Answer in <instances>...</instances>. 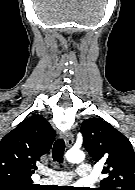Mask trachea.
Instances as JSON below:
<instances>
[{"label": "trachea", "instance_id": "1", "mask_svg": "<svg viewBox=\"0 0 135 190\" xmlns=\"http://www.w3.org/2000/svg\"><path fill=\"white\" fill-rule=\"evenodd\" d=\"M65 143L63 139L55 141L52 151L53 161L63 163Z\"/></svg>", "mask_w": 135, "mask_h": 190}]
</instances>
